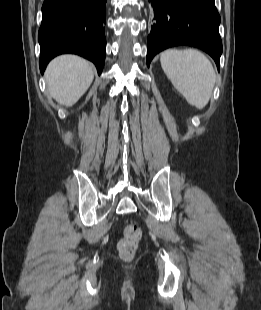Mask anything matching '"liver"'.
I'll return each instance as SVG.
<instances>
[{
	"mask_svg": "<svg viewBox=\"0 0 261 310\" xmlns=\"http://www.w3.org/2000/svg\"><path fill=\"white\" fill-rule=\"evenodd\" d=\"M94 78L92 64L75 55H63L51 61L45 79L51 97L70 107L90 87Z\"/></svg>",
	"mask_w": 261,
	"mask_h": 310,
	"instance_id": "obj_1",
	"label": "liver"
}]
</instances>
